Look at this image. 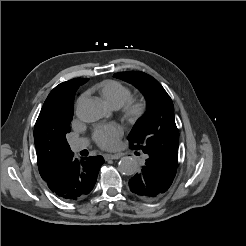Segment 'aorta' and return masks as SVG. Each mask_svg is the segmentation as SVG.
I'll return each instance as SVG.
<instances>
[{
    "mask_svg": "<svg viewBox=\"0 0 246 246\" xmlns=\"http://www.w3.org/2000/svg\"><path fill=\"white\" fill-rule=\"evenodd\" d=\"M103 114V106L100 100L88 98L80 101L76 107L77 117L87 123L98 121ZM118 169L123 175H133L138 170V163L135 158L125 156L120 159Z\"/></svg>",
    "mask_w": 246,
    "mask_h": 246,
    "instance_id": "obj_1",
    "label": "aorta"
}]
</instances>
